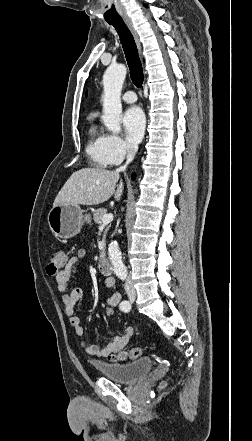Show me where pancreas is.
Wrapping results in <instances>:
<instances>
[{
    "instance_id": "pancreas-1",
    "label": "pancreas",
    "mask_w": 252,
    "mask_h": 441,
    "mask_svg": "<svg viewBox=\"0 0 252 441\" xmlns=\"http://www.w3.org/2000/svg\"><path fill=\"white\" fill-rule=\"evenodd\" d=\"M106 209L99 208L93 212V221L97 224L102 223V216L106 214ZM101 254H104V250L101 252Z\"/></svg>"
}]
</instances>
